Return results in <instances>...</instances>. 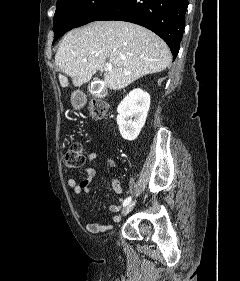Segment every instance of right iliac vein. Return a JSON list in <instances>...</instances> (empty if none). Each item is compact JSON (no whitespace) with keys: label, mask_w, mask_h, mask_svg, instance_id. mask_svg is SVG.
Returning <instances> with one entry per match:
<instances>
[{"label":"right iliac vein","mask_w":240,"mask_h":281,"mask_svg":"<svg viewBox=\"0 0 240 281\" xmlns=\"http://www.w3.org/2000/svg\"><path fill=\"white\" fill-rule=\"evenodd\" d=\"M135 206V202H131L128 205H126L122 211H121V215L122 216H126Z\"/></svg>","instance_id":"1"}]
</instances>
